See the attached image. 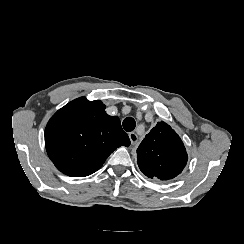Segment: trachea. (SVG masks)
I'll return each instance as SVG.
<instances>
[{
	"label": "trachea",
	"mask_w": 244,
	"mask_h": 244,
	"mask_svg": "<svg viewBox=\"0 0 244 244\" xmlns=\"http://www.w3.org/2000/svg\"><path fill=\"white\" fill-rule=\"evenodd\" d=\"M135 125H136L135 120L132 117H127L123 121V128L127 132L133 131L135 128Z\"/></svg>",
	"instance_id": "1"
}]
</instances>
